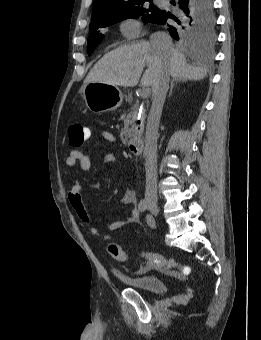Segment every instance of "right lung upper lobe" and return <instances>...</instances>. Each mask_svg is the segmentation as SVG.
<instances>
[{
    "instance_id": "1",
    "label": "right lung upper lobe",
    "mask_w": 261,
    "mask_h": 340,
    "mask_svg": "<svg viewBox=\"0 0 261 340\" xmlns=\"http://www.w3.org/2000/svg\"><path fill=\"white\" fill-rule=\"evenodd\" d=\"M144 0H94L91 22L114 15L122 8Z\"/></svg>"
}]
</instances>
